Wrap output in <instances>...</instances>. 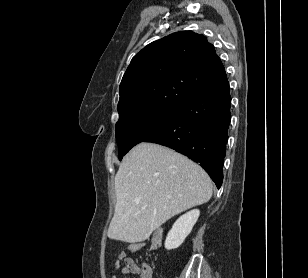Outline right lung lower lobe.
<instances>
[{
  "label": "right lung lower lobe",
  "instance_id": "1",
  "mask_svg": "<svg viewBox=\"0 0 308 278\" xmlns=\"http://www.w3.org/2000/svg\"><path fill=\"white\" fill-rule=\"evenodd\" d=\"M229 82L178 108L177 116L145 139L170 147L200 163L218 188L231 120Z\"/></svg>",
  "mask_w": 308,
  "mask_h": 278
}]
</instances>
